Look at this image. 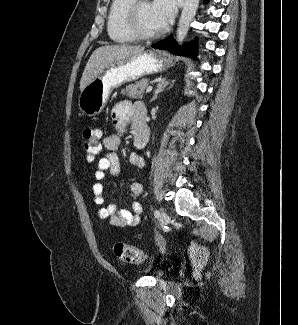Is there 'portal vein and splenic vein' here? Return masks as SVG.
I'll list each match as a JSON object with an SVG mask.
<instances>
[{"mask_svg": "<svg viewBox=\"0 0 298 325\" xmlns=\"http://www.w3.org/2000/svg\"><path fill=\"white\" fill-rule=\"evenodd\" d=\"M152 88H153L152 84H149V86H146L145 92H151Z\"/></svg>", "mask_w": 298, "mask_h": 325, "instance_id": "1", "label": "portal vein and splenic vein"}]
</instances>
